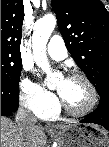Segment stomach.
<instances>
[{"label":"stomach","instance_id":"obj_1","mask_svg":"<svg viewBox=\"0 0 109 147\" xmlns=\"http://www.w3.org/2000/svg\"><path fill=\"white\" fill-rule=\"evenodd\" d=\"M60 147H109V134L94 124H69L51 132Z\"/></svg>","mask_w":109,"mask_h":147}]
</instances>
